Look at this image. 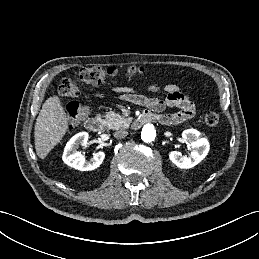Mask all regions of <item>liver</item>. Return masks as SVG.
<instances>
[{"label": "liver", "mask_w": 259, "mask_h": 259, "mask_svg": "<svg viewBox=\"0 0 259 259\" xmlns=\"http://www.w3.org/2000/svg\"><path fill=\"white\" fill-rule=\"evenodd\" d=\"M68 129V116L57 96L49 97L42 106L35 123V149L39 158L48 153L62 140Z\"/></svg>", "instance_id": "obj_1"}]
</instances>
